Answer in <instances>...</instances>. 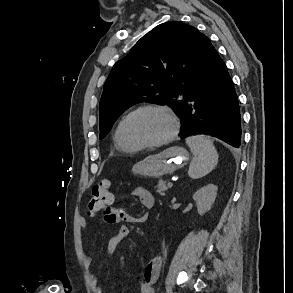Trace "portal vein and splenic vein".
<instances>
[{
	"mask_svg": "<svg viewBox=\"0 0 293 293\" xmlns=\"http://www.w3.org/2000/svg\"><path fill=\"white\" fill-rule=\"evenodd\" d=\"M168 186L171 188V187H173V182H169L168 183Z\"/></svg>",
	"mask_w": 293,
	"mask_h": 293,
	"instance_id": "obj_1",
	"label": "portal vein and splenic vein"
}]
</instances>
